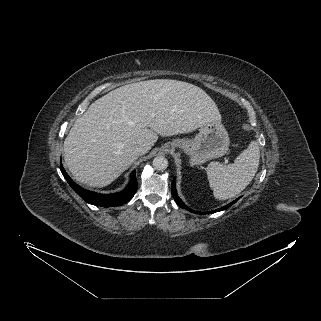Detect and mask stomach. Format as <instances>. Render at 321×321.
I'll return each mask as SVG.
<instances>
[{
    "label": "stomach",
    "mask_w": 321,
    "mask_h": 321,
    "mask_svg": "<svg viewBox=\"0 0 321 321\" xmlns=\"http://www.w3.org/2000/svg\"><path fill=\"white\" fill-rule=\"evenodd\" d=\"M229 136L221 121L203 124L192 140L176 139L172 147H178L190 155L192 165H201L208 160L225 155L229 149Z\"/></svg>",
    "instance_id": "1"
}]
</instances>
